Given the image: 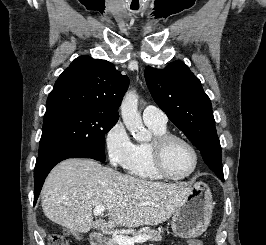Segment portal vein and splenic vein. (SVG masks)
I'll list each match as a JSON object with an SVG mask.
<instances>
[{
    "instance_id": "1",
    "label": "portal vein and splenic vein",
    "mask_w": 266,
    "mask_h": 245,
    "mask_svg": "<svg viewBox=\"0 0 266 245\" xmlns=\"http://www.w3.org/2000/svg\"><path fill=\"white\" fill-rule=\"evenodd\" d=\"M106 207H103V205H97L93 211V215L95 217H99V215H103ZM151 237L149 235H138V237H125V235H115L113 237L112 241L113 243H116V245H134V243H146V241H149Z\"/></svg>"
}]
</instances>
